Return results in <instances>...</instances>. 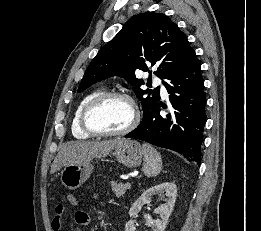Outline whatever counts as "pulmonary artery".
<instances>
[{
    "instance_id": "pulmonary-artery-1",
    "label": "pulmonary artery",
    "mask_w": 261,
    "mask_h": 231,
    "mask_svg": "<svg viewBox=\"0 0 261 231\" xmlns=\"http://www.w3.org/2000/svg\"><path fill=\"white\" fill-rule=\"evenodd\" d=\"M153 83L155 86H159L161 88L162 95L164 97H167L168 93H167L165 86L162 83V80L159 77H155Z\"/></svg>"
}]
</instances>
